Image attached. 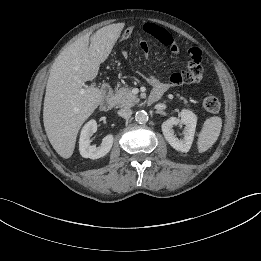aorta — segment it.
I'll return each instance as SVG.
<instances>
[{
	"instance_id": "1",
	"label": "aorta",
	"mask_w": 261,
	"mask_h": 261,
	"mask_svg": "<svg viewBox=\"0 0 261 261\" xmlns=\"http://www.w3.org/2000/svg\"><path fill=\"white\" fill-rule=\"evenodd\" d=\"M135 120L139 124H144L148 121V114L145 111H137L135 114Z\"/></svg>"
}]
</instances>
